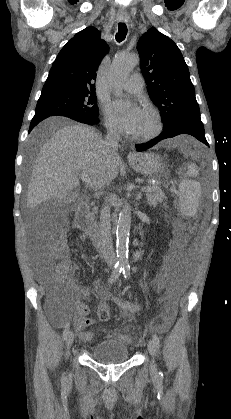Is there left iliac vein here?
I'll use <instances>...</instances> for the list:
<instances>
[{"mask_svg":"<svg viewBox=\"0 0 231 419\" xmlns=\"http://www.w3.org/2000/svg\"><path fill=\"white\" fill-rule=\"evenodd\" d=\"M147 347H148V351H149L150 355L152 356V362H151V365H150V370H151L152 374H155L156 373V363H155L154 357H155L156 348H155V343L152 339H150L148 341Z\"/></svg>","mask_w":231,"mask_h":419,"instance_id":"obj_1","label":"left iliac vein"}]
</instances>
